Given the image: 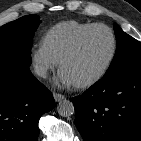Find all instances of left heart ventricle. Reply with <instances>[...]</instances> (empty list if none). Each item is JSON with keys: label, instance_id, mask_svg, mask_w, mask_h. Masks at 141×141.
Segmentation results:
<instances>
[{"label": "left heart ventricle", "instance_id": "left-heart-ventricle-1", "mask_svg": "<svg viewBox=\"0 0 141 141\" xmlns=\"http://www.w3.org/2000/svg\"><path fill=\"white\" fill-rule=\"evenodd\" d=\"M111 37L104 29L90 32L77 51L62 65L73 83L93 77L105 64L111 51Z\"/></svg>", "mask_w": 141, "mask_h": 141}]
</instances>
